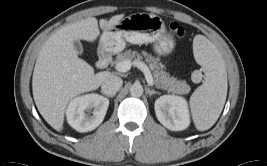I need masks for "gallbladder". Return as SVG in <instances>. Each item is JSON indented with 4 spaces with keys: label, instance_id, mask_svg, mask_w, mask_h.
Returning a JSON list of instances; mask_svg holds the SVG:
<instances>
[{
    "label": "gallbladder",
    "instance_id": "gallbladder-1",
    "mask_svg": "<svg viewBox=\"0 0 267 166\" xmlns=\"http://www.w3.org/2000/svg\"><path fill=\"white\" fill-rule=\"evenodd\" d=\"M73 46H74L75 51L78 54H82V52H83V46H82V44H81V42L79 40H75L73 42Z\"/></svg>",
    "mask_w": 267,
    "mask_h": 166
}]
</instances>
